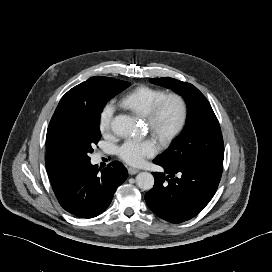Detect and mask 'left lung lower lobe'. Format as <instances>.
Returning a JSON list of instances; mask_svg holds the SVG:
<instances>
[{"label": "left lung lower lobe", "instance_id": "left-lung-lower-lobe-1", "mask_svg": "<svg viewBox=\"0 0 272 272\" xmlns=\"http://www.w3.org/2000/svg\"><path fill=\"white\" fill-rule=\"evenodd\" d=\"M154 163L165 172L153 174L155 184L145 194V200L157 216L171 223L193 218L209 203L223 170V161L165 164L154 160Z\"/></svg>", "mask_w": 272, "mask_h": 272}]
</instances>
